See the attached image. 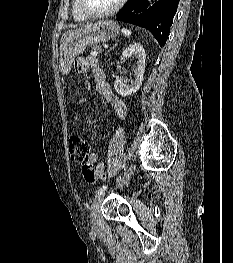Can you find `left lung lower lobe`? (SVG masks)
Here are the masks:
<instances>
[{"label": "left lung lower lobe", "mask_w": 233, "mask_h": 263, "mask_svg": "<svg viewBox=\"0 0 233 263\" xmlns=\"http://www.w3.org/2000/svg\"><path fill=\"white\" fill-rule=\"evenodd\" d=\"M180 0H128L117 19L151 31L165 45Z\"/></svg>", "instance_id": "left-lung-lower-lobe-1"}]
</instances>
